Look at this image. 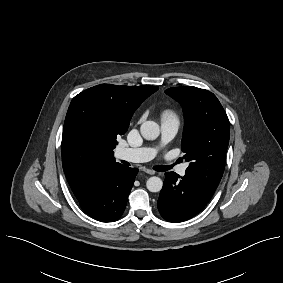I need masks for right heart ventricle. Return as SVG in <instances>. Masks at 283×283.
<instances>
[{
	"label": "right heart ventricle",
	"mask_w": 283,
	"mask_h": 283,
	"mask_svg": "<svg viewBox=\"0 0 283 283\" xmlns=\"http://www.w3.org/2000/svg\"><path fill=\"white\" fill-rule=\"evenodd\" d=\"M162 119H175L176 120V114L173 110H166L162 113Z\"/></svg>",
	"instance_id": "e07e8e85"
}]
</instances>
